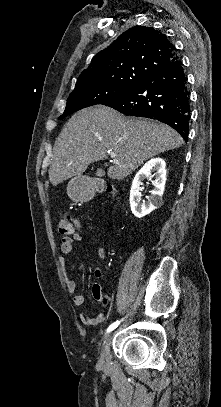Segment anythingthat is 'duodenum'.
<instances>
[{
    "label": "duodenum",
    "instance_id": "obj_1",
    "mask_svg": "<svg viewBox=\"0 0 221 407\" xmlns=\"http://www.w3.org/2000/svg\"><path fill=\"white\" fill-rule=\"evenodd\" d=\"M104 189V184L92 185L86 190L87 199L93 198L99 191Z\"/></svg>",
    "mask_w": 221,
    "mask_h": 407
}]
</instances>
